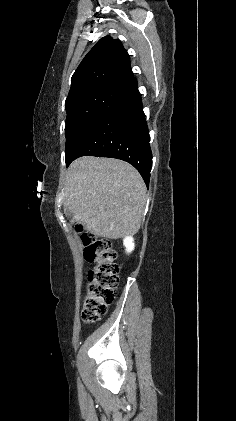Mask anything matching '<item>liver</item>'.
Returning a JSON list of instances; mask_svg holds the SVG:
<instances>
[{
	"instance_id": "1",
	"label": "liver",
	"mask_w": 236,
	"mask_h": 421,
	"mask_svg": "<svg viewBox=\"0 0 236 421\" xmlns=\"http://www.w3.org/2000/svg\"><path fill=\"white\" fill-rule=\"evenodd\" d=\"M146 186L138 170L118 158L80 156L66 174L64 206L72 223L106 239L138 233Z\"/></svg>"
}]
</instances>
